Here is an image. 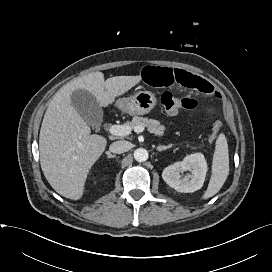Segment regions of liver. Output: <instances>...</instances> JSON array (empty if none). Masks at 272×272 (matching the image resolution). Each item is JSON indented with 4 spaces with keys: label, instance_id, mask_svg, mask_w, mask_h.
<instances>
[{
    "label": "liver",
    "instance_id": "obj_1",
    "mask_svg": "<svg viewBox=\"0 0 272 272\" xmlns=\"http://www.w3.org/2000/svg\"><path fill=\"white\" fill-rule=\"evenodd\" d=\"M140 80L141 76H115L105 81L102 72H93L70 81L54 95L42 121L39 151L44 176L58 194L79 200L91 167L107 145L103 136L90 134L89 125L71 105L72 93L84 89L107 107Z\"/></svg>",
    "mask_w": 272,
    "mask_h": 272
}]
</instances>
